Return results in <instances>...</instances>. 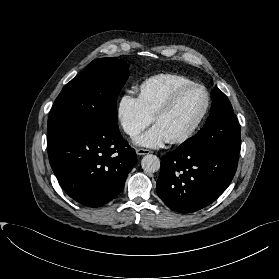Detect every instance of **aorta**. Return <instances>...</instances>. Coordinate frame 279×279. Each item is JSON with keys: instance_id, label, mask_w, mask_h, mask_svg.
<instances>
[{"instance_id": "obj_1", "label": "aorta", "mask_w": 279, "mask_h": 279, "mask_svg": "<svg viewBox=\"0 0 279 279\" xmlns=\"http://www.w3.org/2000/svg\"><path fill=\"white\" fill-rule=\"evenodd\" d=\"M142 169L147 173H154L160 169V160L156 155L147 154L141 161Z\"/></svg>"}]
</instances>
